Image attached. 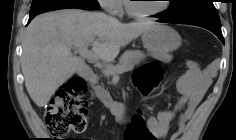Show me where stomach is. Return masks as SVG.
I'll use <instances>...</instances> for the list:
<instances>
[{"instance_id":"obj_1","label":"stomach","mask_w":236,"mask_h":140,"mask_svg":"<svg viewBox=\"0 0 236 140\" xmlns=\"http://www.w3.org/2000/svg\"><path fill=\"white\" fill-rule=\"evenodd\" d=\"M144 47L156 56H163L175 51L182 39L177 31L164 24H155L141 35Z\"/></svg>"}]
</instances>
